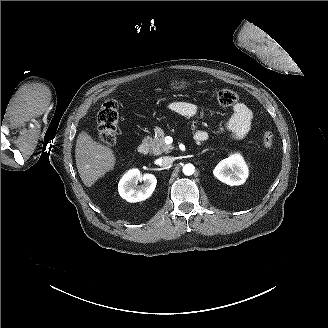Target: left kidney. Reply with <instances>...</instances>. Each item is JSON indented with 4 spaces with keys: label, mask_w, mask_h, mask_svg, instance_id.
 I'll list each match as a JSON object with an SVG mask.
<instances>
[{
    "label": "left kidney",
    "mask_w": 328,
    "mask_h": 328,
    "mask_svg": "<svg viewBox=\"0 0 328 328\" xmlns=\"http://www.w3.org/2000/svg\"><path fill=\"white\" fill-rule=\"evenodd\" d=\"M213 174L221 182L234 186L245 183L249 170L243 157L236 153L220 161L213 170Z\"/></svg>",
    "instance_id": "obj_1"
}]
</instances>
